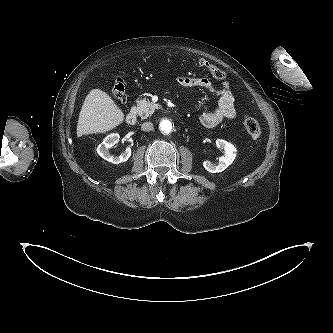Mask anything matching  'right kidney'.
Masks as SVG:
<instances>
[{
    "mask_svg": "<svg viewBox=\"0 0 333 333\" xmlns=\"http://www.w3.org/2000/svg\"><path fill=\"white\" fill-rule=\"evenodd\" d=\"M120 140L118 133H112L106 136L101 144L97 147V153L106 161H109L113 164H119L127 161L131 156V149L129 147L121 153L118 157L111 156L108 149L117 144Z\"/></svg>",
    "mask_w": 333,
    "mask_h": 333,
    "instance_id": "ca27d5eb",
    "label": "right kidney"
}]
</instances>
